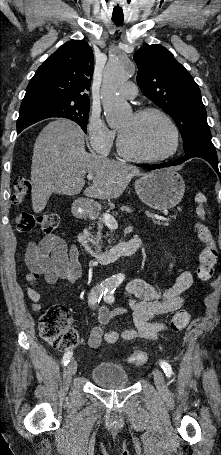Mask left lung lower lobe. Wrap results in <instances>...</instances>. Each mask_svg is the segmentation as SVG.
Masks as SVG:
<instances>
[{"label": "left lung lower lobe", "mask_w": 221, "mask_h": 455, "mask_svg": "<svg viewBox=\"0 0 221 455\" xmlns=\"http://www.w3.org/2000/svg\"><path fill=\"white\" fill-rule=\"evenodd\" d=\"M192 157H199V158H202V159L208 161L220 177L219 169H221V168L220 167L218 168L219 161L217 158V153H216L215 147L195 146L192 149H190L189 151H187L186 155L182 159H179L176 161H171V162H165V163H161V164H155V165H144L143 167L145 169L154 170V169H159V168L168 167V166H175V165H179V164L183 163L184 161H186Z\"/></svg>", "instance_id": "0a47b994"}]
</instances>
